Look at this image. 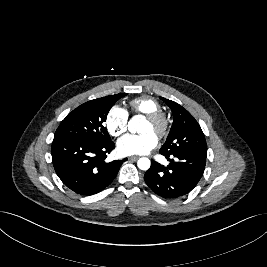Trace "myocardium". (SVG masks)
Returning a JSON list of instances; mask_svg holds the SVG:
<instances>
[{
  "mask_svg": "<svg viewBox=\"0 0 267 267\" xmlns=\"http://www.w3.org/2000/svg\"><path fill=\"white\" fill-rule=\"evenodd\" d=\"M146 120L155 128V135L157 137L163 138L168 134L170 120L163 111H156L146 115Z\"/></svg>",
  "mask_w": 267,
  "mask_h": 267,
  "instance_id": "myocardium-1",
  "label": "myocardium"
}]
</instances>
